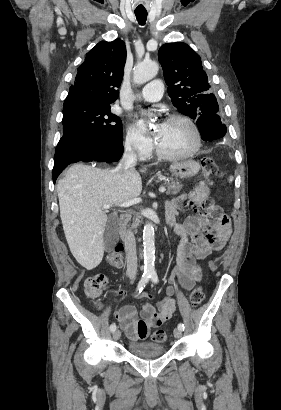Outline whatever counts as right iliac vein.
<instances>
[{
    "mask_svg": "<svg viewBox=\"0 0 281 410\" xmlns=\"http://www.w3.org/2000/svg\"><path fill=\"white\" fill-rule=\"evenodd\" d=\"M120 336H121L120 330H115V331L113 332V339H114V340H118V339L120 338Z\"/></svg>",
    "mask_w": 281,
    "mask_h": 410,
    "instance_id": "obj_1",
    "label": "right iliac vein"
}]
</instances>
